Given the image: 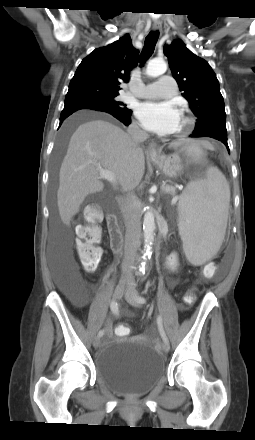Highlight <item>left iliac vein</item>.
Listing matches in <instances>:
<instances>
[{"label":"left iliac vein","mask_w":255,"mask_h":440,"mask_svg":"<svg viewBox=\"0 0 255 440\" xmlns=\"http://www.w3.org/2000/svg\"><path fill=\"white\" fill-rule=\"evenodd\" d=\"M138 297H139V295L132 288H128L125 291V299L127 300L128 303H130L133 306H140L141 305V303L138 302V300H137ZM162 349L164 352H168L170 349L169 342H163Z\"/></svg>","instance_id":"1"}]
</instances>
